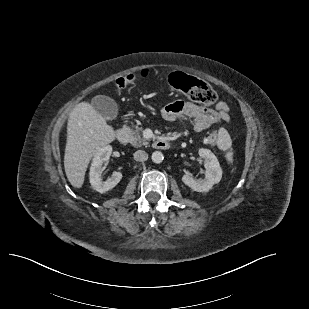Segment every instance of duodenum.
<instances>
[{"label":"duodenum","instance_id":"duodenum-1","mask_svg":"<svg viewBox=\"0 0 309 309\" xmlns=\"http://www.w3.org/2000/svg\"><path fill=\"white\" fill-rule=\"evenodd\" d=\"M117 140L126 144L129 141V132L125 128H120L116 131ZM153 147L158 150H168L171 147V142L167 138H158L153 142Z\"/></svg>","mask_w":309,"mask_h":309}]
</instances>
